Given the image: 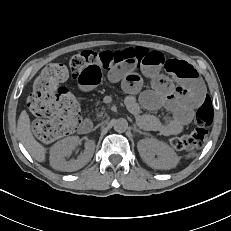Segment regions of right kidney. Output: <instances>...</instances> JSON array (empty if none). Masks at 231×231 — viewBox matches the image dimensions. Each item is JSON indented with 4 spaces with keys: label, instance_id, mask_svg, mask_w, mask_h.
I'll return each instance as SVG.
<instances>
[{
    "label": "right kidney",
    "instance_id": "1",
    "mask_svg": "<svg viewBox=\"0 0 231 231\" xmlns=\"http://www.w3.org/2000/svg\"><path fill=\"white\" fill-rule=\"evenodd\" d=\"M79 142L78 136H71L56 142L50 149V165L60 171L73 172L84 167L92 158L95 150V142L88 140L85 143L84 152L77 158L66 161Z\"/></svg>",
    "mask_w": 231,
    "mask_h": 231
}]
</instances>
